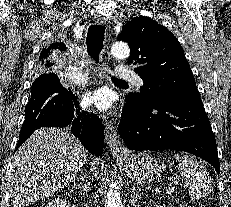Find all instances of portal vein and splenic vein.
I'll use <instances>...</instances> for the list:
<instances>
[{
  "instance_id": "18ae733b",
  "label": "portal vein and splenic vein",
  "mask_w": 231,
  "mask_h": 207,
  "mask_svg": "<svg viewBox=\"0 0 231 207\" xmlns=\"http://www.w3.org/2000/svg\"><path fill=\"white\" fill-rule=\"evenodd\" d=\"M174 190H175L174 187H168V188L165 189V192H166L167 194H169V193L173 192Z\"/></svg>"
}]
</instances>
